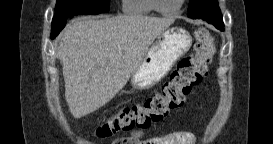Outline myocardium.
<instances>
[{
	"label": "myocardium",
	"instance_id": "myocardium-1",
	"mask_svg": "<svg viewBox=\"0 0 273 144\" xmlns=\"http://www.w3.org/2000/svg\"><path fill=\"white\" fill-rule=\"evenodd\" d=\"M184 2H185V0H179L177 7L173 8V9H169V10H164L160 7L159 0H150L151 8L155 12L162 14V15H173V14L177 13L181 9Z\"/></svg>",
	"mask_w": 273,
	"mask_h": 144
}]
</instances>
